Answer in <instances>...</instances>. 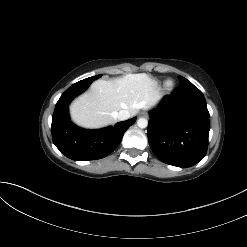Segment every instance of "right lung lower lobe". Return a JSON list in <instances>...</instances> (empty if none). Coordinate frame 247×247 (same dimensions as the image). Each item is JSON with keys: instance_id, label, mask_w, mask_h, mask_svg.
<instances>
[{"instance_id": "right-lung-lower-lobe-1", "label": "right lung lower lobe", "mask_w": 247, "mask_h": 247, "mask_svg": "<svg viewBox=\"0 0 247 247\" xmlns=\"http://www.w3.org/2000/svg\"><path fill=\"white\" fill-rule=\"evenodd\" d=\"M91 84V83H90ZM90 84L77 82L60 97L52 116V139L62 154L73 160H95L113 152L122 140L124 132L136 121V117L119 122L114 127L86 130L75 126L68 113V105Z\"/></svg>"}]
</instances>
